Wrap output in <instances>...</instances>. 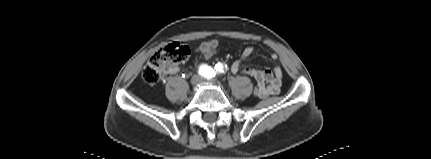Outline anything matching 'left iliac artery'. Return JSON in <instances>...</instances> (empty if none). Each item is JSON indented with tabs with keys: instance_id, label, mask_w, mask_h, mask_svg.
<instances>
[{
	"instance_id": "1",
	"label": "left iliac artery",
	"mask_w": 431,
	"mask_h": 159,
	"mask_svg": "<svg viewBox=\"0 0 431 159\" xmlns=\"http://www.w3.org/2000/svg\"><path fill=\"white\" fill-rule=\"evenodd\" d=\"M226 69V65L224 66L222 63H218L215 65V71L213 70L212 76L214 77L216 75V73H224ZM210 77V78H211ZM209 79V78H208Z\"/></svg>"
}]
</instances>
